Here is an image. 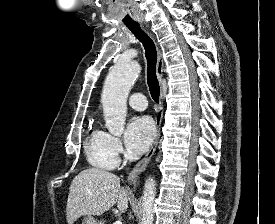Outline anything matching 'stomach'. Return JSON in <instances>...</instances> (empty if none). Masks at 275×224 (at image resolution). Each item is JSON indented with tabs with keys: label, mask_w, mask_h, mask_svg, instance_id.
I'll use <instances>...</instances> for the list:
<instances>
[{
	"label": "stomach",
	"mask_w": 275,
	"mask_h": 224,
	"mask_svg": "<svg viewBox=\"0 0 275 224\" xmlns=\"http://www.w3.org/2000/svg\"><path fill=\"white\" fill-rule=\"evenodd\" d=\"M82 224H102L101 222L97 221L94 217L92 216H87L83 219Z\"/></svg>",
	"instance_id": "stomach-1"
}]
</instances>
